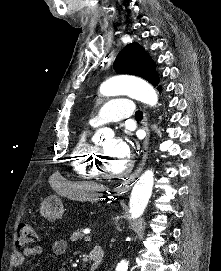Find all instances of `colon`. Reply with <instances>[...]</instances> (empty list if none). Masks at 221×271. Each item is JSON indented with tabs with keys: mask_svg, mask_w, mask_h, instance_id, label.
<instances>
[{
	"mask_svg": "<svg viewBox=\"0 0 221 271\" xmlns=\"http://www.w3.org/2000/svg\"><path fill=\"white\" fill-rule=\"evenodd\" d=\"M37 240L33 227L26 222H21L16 235V249L25 250L35 244Z\"/></svg>",
	"mask_w": 221,
	"mask_h": 271,
	"instance_id": "obj_1",
	"label": "colon"
}]
</instances>
